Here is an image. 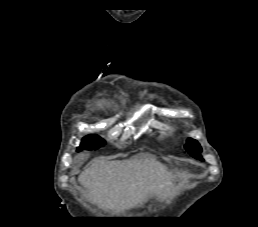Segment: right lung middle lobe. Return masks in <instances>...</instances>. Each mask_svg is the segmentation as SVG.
<instances>
[{
    "mask_svg": "<svg viewBox=\"0 0 258 227\" xmlns=\"http://www.w3.org/2000/svg\"><path fill=\"white\" fill-rule=\"evenodd\" d=\"M105 141L100 138L97 135H88L85 136L82 139L81 145L78 148V150L80 151L81 149H87V150H96L102 146H104Z\"/></svg>",
    "mask_w": 258,
    "mask_h": 227,
    "instance_id": "obj_1",
    "label": "right lung middle lobe"
}]
</instances>
